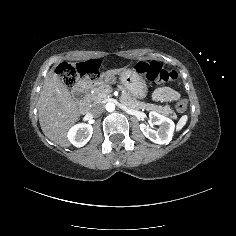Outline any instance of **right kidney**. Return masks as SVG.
I'll return each instance as SVG.
<instances>
[{
	"mask_svg": "<svg viewBox=\"0 0 236 236\" xmlns=\"http://www.w3.org/2000/svg\"><path fill=\"white\" fill-rule=\"evenodd\" d=\"M93 127L86 123L76 124L71 127L67 133V137L71 144L75 147H83L91 138Z\"/></svg>",
	"mask_w": 236,
	"mask_h": 236,
	"instance_id": "1",
	"label": "right kidney"
}]
</instances>
